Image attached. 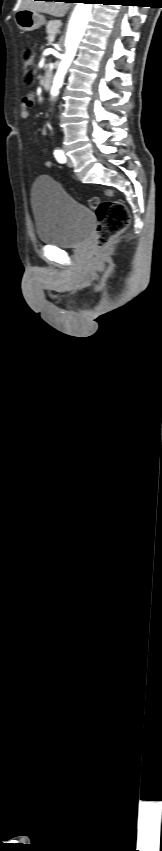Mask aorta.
<instances>
[{"mask_svg": "<svg viewBox=\"0 0 162 851\" xmlns=\"http://www.w3.org/2000/svg\"><path fill=\"white\" fill-rule=\"evenodd\" d=\"M91 10V3H77L73 11L66 35V52L62 57V60L59 64V67L56 71L53 80L51 88L52 96H57L59 94V89L62 87L66 72L76 54L77 47L84 35L87 23L91 16Z\"/></svg>", "mask_w": 162, "mask_h": 851, "instance_id": "1", "label": "aorta"}]
</instances>
